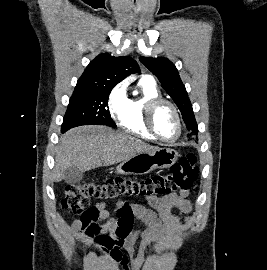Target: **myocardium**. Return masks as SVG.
I'll list each match as a JSON object with an SVG mask.
<instances>
[{
  "instance_id": "1",
  "label": "myocardium",
  "mask_w": 267,
  "mask_h": 270,
  "mask_svg": "<svg viewBox=\"0 0 267 270\" xmlns=\"http://www.w3.org/2000/svg\"><path fill=\"white\" fill-rule=\"evenodd\" d=\"M161 105H168L175 113L177 123H178V132H177V135L173 139H165V138L161 137L155 128L154 115H155L156 110ZM144 123H145L147 130L150 132V134L156 140H158L162 143H165V144L176 143L182 135L183 123H182V117H181L179 109L177 108V106L174 103H172L171 101L164 99L162 97L153 98L147 102V104L145 106V112H144Z\"/></svg>"
}]
</instances>
